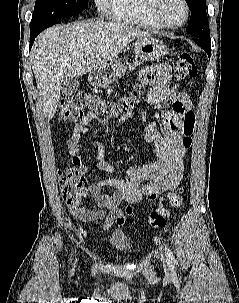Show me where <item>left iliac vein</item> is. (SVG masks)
<instances>
[{"label": "left iliac vein", "instance_id": "left-iliac-vein-1", "mask_svg": "<svg viewBox=\"0 0 239 303\" xmlns=\"http://www.w3.org/2000/svg\"><path fill=\"white\" fill-rule=\"evenodd\" d=\"M162 262H163L164 266H165V267H167V264H166V263H167V261H166V259H165V258H163V257H162Z\"/></svg>", "mask_w": 239, "mask_h": 303}]
</instances>
